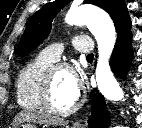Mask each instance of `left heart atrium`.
<instances>
[{"label":"left heart atrium","mask_w":142,"mask_h":128,"mask_svg":"<svg viewBox=\"0 0 142 128\" xmlns=\"http://www.w3.org/2000/svg\"><path fill=\"white\" fill-rule=\"evenodd\" d=\"M69 78L71 83L73 84V86L79 90L80 87V79L79 76L77 75V73L73 72V71H69Z\"/></svg>","instance_id":"left-heart-atrium-1"}]
</instances>
